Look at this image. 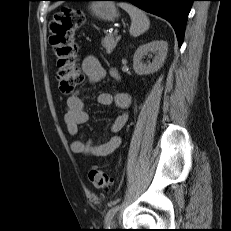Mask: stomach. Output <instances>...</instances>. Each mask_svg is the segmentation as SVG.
<instances>
[{
    "mask_svg": "<svg viewBox=\"0 0 231 231\" xmlns=\"http://www.w3.org/2000/svg\"><path fill=\"white\" fill-rule=\"evenodd\" d=\"M91 13L104 21H115L119 16L117 8L113 2L97 1L90 4Z\"/></svg>",
    "mask_w": 231,
    "mask_h": 231,
    "instance_id": "stomach-1",
    "label": "stomach"
}]
</instances>
